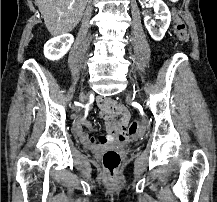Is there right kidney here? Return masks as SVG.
Returning <instances> with one entry per match:
<instances>
[{
  "label": "right kidney",
  "mask_w": 217,
  "mask_h": 202,
  "mask_svg": "<svg viewBox=\"0 0 217 202\" xmlns=\"http://www.w3.org/2000/svg\"><path fill=\"white\" fill-rule=\"evenodd\" d=\"M73 42L74 38L72 34H63V36L48 40L44 46L45 58H48V60H59V58H62V56L67 54Z\"/></svg>",
  "instance_id": "1"
}]
</instances>
